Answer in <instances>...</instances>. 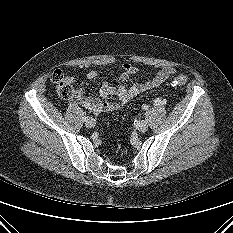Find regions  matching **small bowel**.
I'll list each match as a JSON object with an SVG mask.
<instances>
[{"label": "small bowel", "mask_w": 233, "mask_h": 233, "mask_svg": "<svg viewBox=\"0 0 233 233\" xmlns=\"http://www.w3.org/2000/svg\"><path fill=\"white\" fill-rule=\"evenodd\" d=\"M121 69V82L128 81L129 78L135 75L138 71V69L130 63L122 64ZM175 72L176 71L173 67H163L158 70L152 78L143 82H137L133 84L130 88H127L123 84L113 86L109 82H103L100 87L101 98L86 97L81 89H77L75 90L73 100L81 104L86 109L94 112L95 114L120 109L142 92L159 87L169 77L174 75ZM97 75L98 72L96 70H91L88 72L87 78L94 79ZM112 97H116L115 103L109 101V99Z\"/></svg>", "instance_id": "small-bowel-1"}]
</instances>
